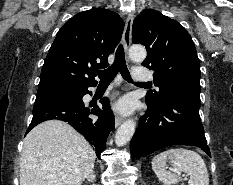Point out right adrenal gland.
<instances>
[{"instance_id":"right-adrenal-gland-1","label":"right adrenal gland","mask_w":233,"mask_h":185,"mask_svg":"<svg viewBox=\"0 0 233 185\" xmlns=\"http://www.w3.org/2000/svg\"><path fill=\"white\" fill-rule=\"evenodd\" d=\"M96 175L95 172H92L88 177L87 180L88 181H95Z\"/></svg>"}]
</instances>
